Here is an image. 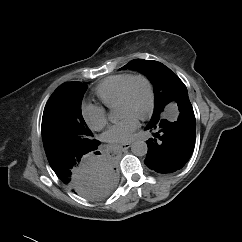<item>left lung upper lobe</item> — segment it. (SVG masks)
<instances>
[{
    "label": "left lung upper lobe",
    "instance_id": "1",
    "mask_svg": "<svg viewBox=\"0 0 242 242\" xmlns=\"http://www.w3.org/2000/svg\"><path fill=\"white\" fill-rule=\"evenodd\" d=\"M134 69L145 74L154 86L155 101L152 118L160 115L170 102L188 97L187 88L180 78L158 61L135 59L121 69Z\"/></svg>",
    "mask_w": 242,
    "mask_h": 242
}]
</instances>
